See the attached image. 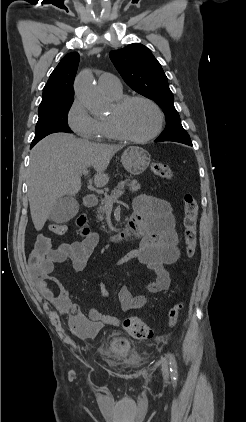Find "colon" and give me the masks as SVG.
<instances>
[{
	"mask_svg": "<svg viewBox=\"0 0 246 422\" xmlns=\"http://www.w3.org/2000/svg\"><path fill=\"white\" fill-rule=\"evenodd\" d=\"M151 169L156 176L163 179L170 180L174 176L172 169L165 163L156 162L152 165ZM183 204L185 250L188 257H193L197 245L198 204L191 194L184 196ZM49 230L55 235H64L67 232V226L64 224H51ZM51 250V240L45 235H39L28 258V267L35 279H42L50 270L49 253ZM181 310V303L174 304L169 310L168 324L170 327L178 323ZM123 326L136 339L147 340L153 336L152 329L137 317L127 318Z\"/></svg>",
	"mask_w": 246,
	"mask_h": 422,
	"instance_id": "1",
	"label": "colon"
}]
</instances>
